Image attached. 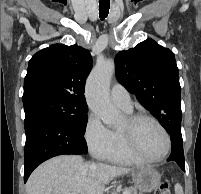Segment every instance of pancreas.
Here are the masks:
<instances>
[{"mask_svg": "<svg viewBox=\"0 0 201 194\" xmlns=\"http://www.w3.org/2000/svg\"><path fill=\"white\" fill-rule=\"evenodd\" d=\"M125 191H127L128 194H142V193H138L137 189H135V188H129V189H126Z\"/></svg>", "mask_w": 201, "mask_h": 194, "instance_id": "pancreas-1", "label": "pancreas"}]
</instances>
